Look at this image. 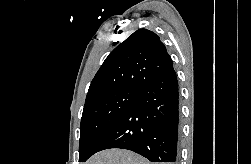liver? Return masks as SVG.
<instances>
[{
    "label": "liver",
    "mask_w": 251,
    "mask_h": 164,
    "mask_svg": "<svg viewBox=\"0 0 251 164\" xmlns=\"http://www.w3.org/2000/svg\"><path fill=\"white\" fill-rule=\"evenodd\" d=\"M85 164H151L145 158L128 150L109 149L92 156Z\"/></svg>",
    "instance_id": "liver-1"
}]
</instances>
